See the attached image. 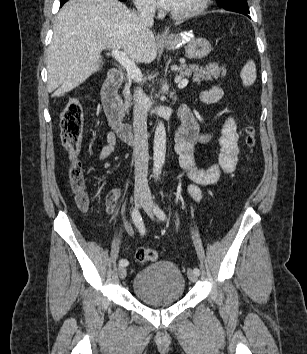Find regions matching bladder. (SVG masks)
I'll return each instance as SVG.
<instances>
[{"label": "bladder", "mask_w": 307, "mask_h": 354, "mask_svg": "<svg viewBox=\"0 0 307 354\" xmlns=\"http://www.w3.org/2000/svg\"><path fill=\"white\" fill-rule=\"evenodd\" d=\"M132 290L147 305L168 306L182 299L185 278L173 262L160 260L136 273Z\"/></svg>", "instance_id": "31cf9c89"}]
</instances>
